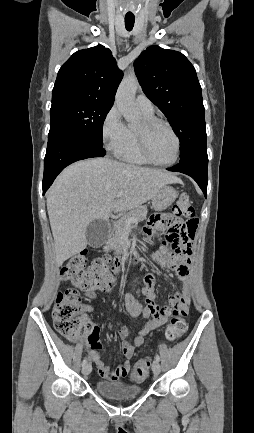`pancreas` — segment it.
Wrapping results in <instances>:
<instances>
[{
  "mask_svg": "<svg viewBox=\"0 0 254 433\" xmlns=\"http://www.w3.org/2000/svg\"><path fill=\"white\" fill-rule=\"evenodd\" d=\"M147 212L148 210L146 206H138L132 209L131 211L124 213L121 216V218L117 220L116 223L114 224V231L112 237L107 242L108 247H114V248L120 247L124 232L129 226L126 222L127 219L135 217L137 221L131 224H136L139 221L146 219Z\"/></svg>",
  "mask_w": 254,
  "mask_h": 433,
  "instance_id": "cf45deb5",
  "label": "pancreas"
}]
</instances>
